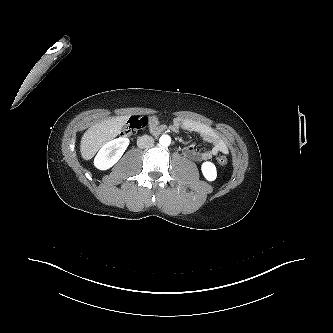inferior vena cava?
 Instances as JSON below:
<instances>
[{
    "instance_id": "obj_1",
    "label": "inferior vena cava",
    "mask_w": 333,
    "mask_h": 333,
    "mask_svg": "<svg viewBox=\"0 0 333 333\" xmlns=\"http://www.w3.org/2000/svg\"><path fill=\"white\" fill-rule=\"evenodd\" d=\"M153 138L148 135H143L138 138L137 140V146L141 149L147 148L153 144Z\"/></svg>"
}]
</instances>
